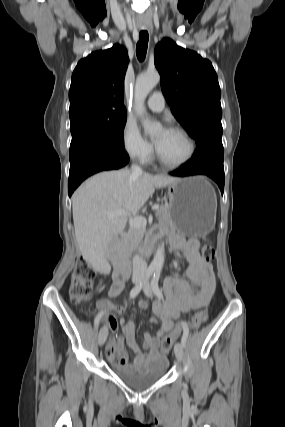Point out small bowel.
<instances>
[{
  "mask_svg": "<svg viewBox=\"0 0 285 427\" xmlns=\"http://www.w3.org/2000/svg\"><path fill=\"white\" fill-rule=\"evenodd\" d=\"M170 242L173 249L181 251L184 255L187 262L185 277L170 275L166 278L165 300H157L152 305L151 322H159L160 327L155 334L149 332L144 334L142 346L139 345L135 336V324L124 318L117 320L111 313L112 310H117L122 314L123 307H117L106 299L97 302V308L105 314V320L111 330L117 333L118 325L121 326L126 343L135 355L134 360L129 362L123 340L117 338L109 342L106 347L107 356L112 364L133 371L155 368L167 362L158 350L160 340L173 329L174 321L178 320L182 314L206 306L215 293L216 281L213 267L209 261L201 257L199 242L196 239L185 240L174 233L170 234ZM124 285V281L114 277L109 295L112 297L119 295ZM148 306L149 303L146 300H141L137 303L135 310L146 309ZM115 354L120 356L119 361L115 360Z\"/></svg>",
  "mask_w": 285,
  "mask_h": 427,
  "instance_id": "obj_1",
  "label": "small bowel"
}]
</instances>
